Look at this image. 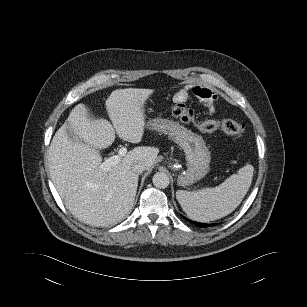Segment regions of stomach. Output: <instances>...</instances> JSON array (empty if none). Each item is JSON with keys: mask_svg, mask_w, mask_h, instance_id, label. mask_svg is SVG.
I'll use <instances>...</instances> for the list:
<instances>
[{"mask_svg": "<svg viewBox=\"0 0 307 307\" xmlns=\"http://www.w3.org/2000/svg\"><path fill=\"white\" fill-rule=\"evenodd\" d=\"M148 127L169 135L183 149L187 169L178 176L177 182L180 186L191 185L207 175L210 169L211 153L200 135L172 120L162 118L150 120ZM171 167L177 169L174 164H171Z\"/></svg>", "mask_w": 307, "mask_h": 307, "instance_id": "stomach-1", "label": "stomach"}]
</instances>
